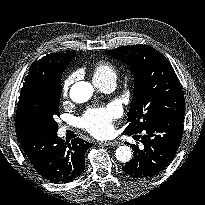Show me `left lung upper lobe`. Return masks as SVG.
<instances>
[{
  "label": "left lung upper lobe",
  "instance_id": "1",
  "mask_svg": "<svg viewBox=\"0 0 205 205\" xmlns=\"http://www.w3.org/2000/svg\"><path fill=\"white\" fill-rule=\"evenodd\" d=\"M107 54L129 65L134 73L126 134L139 133L167 115L185 111L178 78L168 60L156 49L140 44L109 50Z\"/></svg>",
  "mask_w": 205,
  "mask_h": 205
}]
</instances>
